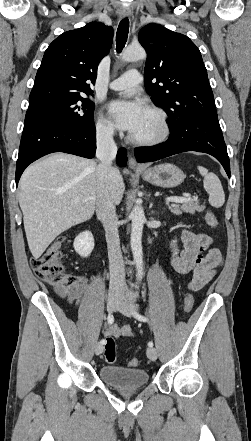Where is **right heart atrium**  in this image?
<instances>
[{"mask_svg":"<svg viewBox=\"0 0 251 441\" xmlns=\"http://www.w3.org/2000/svg\"><path fill=\"white\" fill-rule=\"evenodd\" d=\"M95 129L97 136L103 140L112 139L115 133L112 124L101 115L97 119Z\"/></svg>","mask_w":251,"mask_h":441,"instance_id":"obj_1","label":"right heart atrium"}]
</instances>
